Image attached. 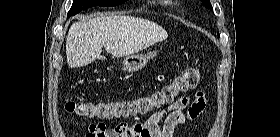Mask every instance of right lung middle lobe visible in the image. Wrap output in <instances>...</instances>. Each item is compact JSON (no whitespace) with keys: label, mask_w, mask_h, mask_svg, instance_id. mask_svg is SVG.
Here are the masks:
<instances>
[{"label":"right lung middle lobe","mask_w":280,"mask_h":137,"mask_svg":"<svg viewBox=\"0 0 280 137\" xmlns=\"http://www.w3.org/2000/svg\"><path fill=\"white\" fill-rule=\"evenodd\" d=\"M127 0H73L71 9L68 12V17L79 13L92 6H117Z\"/></svg>","instance_id":"obj_1"}]
</instances>
